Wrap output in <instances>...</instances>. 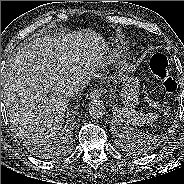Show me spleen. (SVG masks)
I'll return each instance as SVG.
<instances>
[{
    "label": "spleen",
    "instance_id": "obj_1",
    "mask_svg": "<svg viewBox=\"0 0 184 184\" xmlns=\"http://www.w3.org/2000/svg\"><path fill=\"white\" fill-rule=\"evenodd\" d=\"M131 116H133V118L131 119L133 121L134 124H136L137 122H143L142 120L146 119L142 113H138L134 110H131Z\"/></svg>",
    "mask_w": 184,
    "mask_h": 184
}]
</instances>
